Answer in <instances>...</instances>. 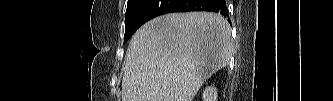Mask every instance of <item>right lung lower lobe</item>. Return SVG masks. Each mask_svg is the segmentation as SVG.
I'll return each instance as SVG.
<instances>
[{"label":"right lung lower lobe","mask_w":333,"mask_h":101,"mask_svg":"<svg viewBox=\"0 0 333 101\" xmlns=\"http://www.w3.org/2000/svg\"><path fill=\"white\" fill-rule=\"evenodd\" d=\"M212 11L229 17L225 0H144L133 21L136 31L145 22L171 12Z\"/></svg>","instance_id":"right-lung-lower-lobe-1"}]
</instances>
